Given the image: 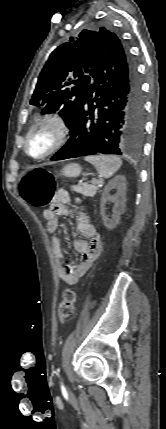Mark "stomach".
Returning <instances> with one entry per match:
<instances>
[{
  "mask_svg": "<svg viewBox=\"0 0 166 429\" xmlns=\"http://www.w3.org/2000/svg\"><path fill=\"white\" fill-rule=\"evenodd\" d=\"M82 172V168L77 163H70L62 169V175L69 178L78 177Z\"/></svg>",
  "mask_w": 166,
  "mask_h": 429,
  "instance_id": "1",
  "label": "stomach"
}]
</instances>
